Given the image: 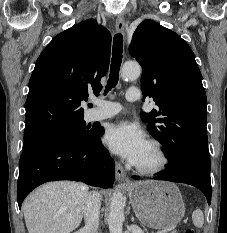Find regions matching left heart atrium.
I'll list each match as a JSON object with an SVG mask.
<instances>
[{
	"label": "left heart atrium",
	"instance_id": "1",
	"mask_svg": "<svg viewBox=\"0 0 227 233\" xmlns=\"http://www.w3.org/2000/svg\"><path fill=\"white\" fill-rule=\"evenodd\" d=\"M104 140L113 152L132 164H136L148 145L140 127L127 121L112 124L107 129Z\"/></svg>",
	"mask_w": 227,
	"mask_h": 233
}]
</instances>
